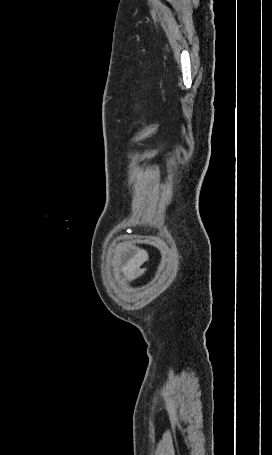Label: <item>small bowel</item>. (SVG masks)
<instances>
[{"label": "small bowel", "mask_w": 272, "mask_h": 455, "mask_svg": "<svg viewBox=\"0 0 272 455\" xmlns=\"http://www.w3.org/2000/svg\"><path fill=\"white\" fill-rule=\"evenodd\" d=\"M148 260V252L143 249H137L132 252L129 258L120 268V275L123 279L130 281L144 273L143 264Z\"/></svg>", "instance_id": "c3829d8e"}]
</instances>
